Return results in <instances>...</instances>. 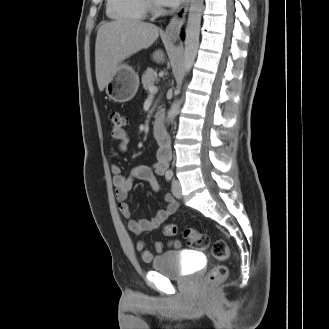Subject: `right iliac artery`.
<instances>
[{
	"label": "right iliac artery",
	"mask_w": 329,
	"mask_h": 329,
	"mask_svg": "<svg viewBox=\"0 0 329 329\" xmlns=\"http://www.w3.org/2000/svg\"><path fill=\"white\" fill-rule=\"evenodd\" d=\"M165 178L167 181H170L173 178V172L167 171L165 174Z\"/></svg>",
	"instance_id": "right-iliac-artery-1"
}]
</instances>
